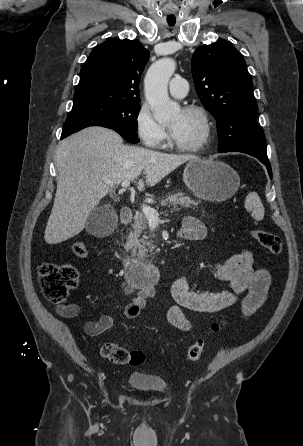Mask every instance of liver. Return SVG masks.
Returning a JSON list of instances; mask_svg holds the SVG:
<instances>
[{"label":"liver","instance_id":"obj_1","mask_svg":"<svg viewBox=\"0 0 303 446\" xmlns=\"http://www.w3.org/2000/svg\"><path fill=\"white\" fill-rule=\"evenodd\" d=\"M197 158L124 145L116 132L103 127H89L68 137L56 152L57 191L45 229L46 243L58 244L78 235L114 185L135 182L144 171L145 182L140 179L137 183L142 191L145 184L155 186L177 167Z\"/></svg>","mask_w":303,"mask_h":446}]
</instances>
